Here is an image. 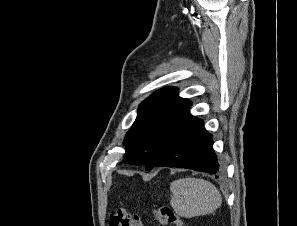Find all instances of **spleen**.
Listing matches in <instances>:
<instances>
[{
	"label": "spleen",
	"mask_w": 297,
	"mask_h": 226,
	"mask_svg": "<svg viewBox=\"0 0 297 226\" xmlns=\"http://www.w3.org/2000/svg\"><path fill=\"white\" fill-rule=\"evenodd\" d=\"M170 204L181 217L192 218L207 215L222 204L219 190L209 181L185 177L173 181Z\"/></svg>",
	"instance_id": "obj_1"
}]
</instances>
